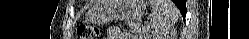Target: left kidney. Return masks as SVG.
I'll return each mask as SVG.
<instances>
[{
    "instance_id": "obj_1",
    "label": "left kidney",
    "mask_w": 249,
    "mask_h": 39,
    "mask_svg": "<svg viewBox=\"0 0 249 39\" xmlns=\"http://www.w3.org/2000/svg\"><path fill=\"white\" fill-rule=\"evenodd\" d=\"M147 39H172V35H170L168 32H165L160 35H156L154 32L152 35H149L146 37Z\"/></svg>"
}]
</instances>
